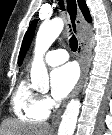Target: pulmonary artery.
Wrapping results in <instances>:
<instances>
[{"instance_id": "pulmonary-artery-1", "label": "pulmonary artery", "mask_w": 112, "mask_h": 135, "mask_svg": "<svg viewBox=\"0 0 112 135\" xmlns=\"http://www.w3.org/2000/svg\"><path fill=\"white\" fill-rule=\"evenodd\" d=\"M68 59V53L62 48L50 50L44 57L45 62L50 66L64 63Z\"/></svg>"}]
</instances>
